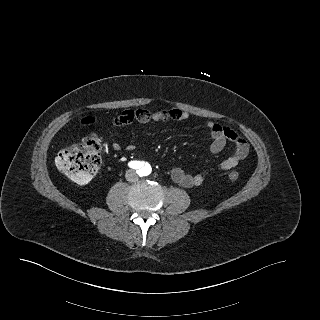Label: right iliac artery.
Returning a JSON list of instances; mask_svg holds the SVG:
<instances>
[{
    "instance_id": "82829eb1",
    "label": "right iliac artery",
    "mask_w": 320,
    "mask_h": 320,
    "mask_svg": "<svg viewBox=\"0 0 320 320\" xmlns=\"http://www.w3.org/2000/svg\"><path fill=\"white\" fill-rule=\"evenodd\" d=\"M128 166H129L130 168L137 169V168L141 167V164H140L139 161H130V162L128 163Z\"/></svg>"
}]
</instances>
